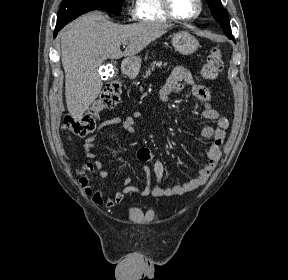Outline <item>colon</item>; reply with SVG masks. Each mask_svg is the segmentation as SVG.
<instances>
[{
    "instance_id": "colon-1",
    "label": "colon",
    "mask_w": 288,
    "mask_h": 280,
    "mask_svg": "<svg viewBox=\"0 0 288 280\" xmlns=\"http://www.w3.org/2000/svg\"><path fill=\"white\" fill-rule=\"evenodd\" d=\"M223 56L218 48H213L207 55L200 71L204 80H215L223 69ZM121 82L113 80L106 84L97 99L89 110L80 117L68 115L63 122V129L75 136L84 137L95 130L99 113L103 110L114 108L120 100ZM90 165L81 170V182L88 184L87 169Z\"/></svg>"
}]
</instances>
